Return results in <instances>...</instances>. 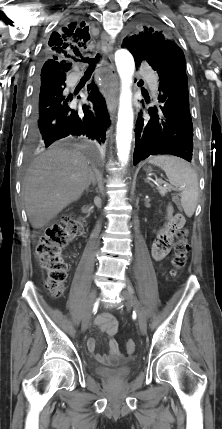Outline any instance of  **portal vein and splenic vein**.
<instances>
[{
    "label": "portal vein and splenic vein",
    "mask_w": 222,
    "mask_h": 429,
    "mask_svg": "<svg viewBox=\"0 0 222 429\" xmlns=\"http://www.w3.org/2000/svg\"><path fill=\"white\" fill-rule=\"evenodd\" d=\"M155 183H156L157 185H159V184H162V183H163V181H162V180H160V179H158V180H156V181H155Z\"/></svg>",
    "instance_id": "1"
}]
</instances>
